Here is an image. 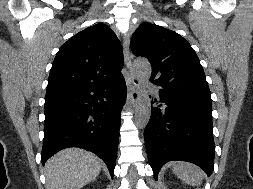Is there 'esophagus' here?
Wrapping results in <instances>:
<instances>
[{
  "label": "esophagus",
  "mask_w": 253,
  "mask_h": 189,
  "mask_svg": "<svg viewBox=\"0 0 253 189\" xmlns=\"http://www.w3.org/2000/svg\"><path fill=\"white\" fill-rule=\"evenodd\" d=\"M123 53H124V62L130 75V83H129L130 102L133 106H135V104L139 99L140 82L138 78L134 75L132 70V60L130 55V38L128 34H126L123 37Z\"/></svg>",
  "instance_id": "obj_1"
}]
</instances>
